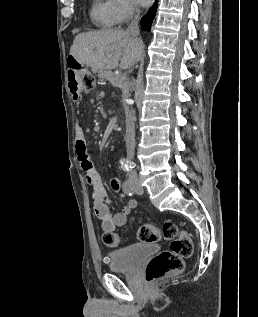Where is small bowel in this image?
<instances>
[{"label":"small bowel","instance_id":"small-bowel-1","mask_svg":"<svg viewBox=\"0 0 258 317\" xmlns=\"http://www.w3.org/2000/svg\"><path fill=\"white\" fill-rule=\"evenodd\" d=\"M75 151L78 162L85 174L86 181L91 188L94 212L105 232H113L116 228L123 226L127 217L136 208L137 202L130 199L117 213H114L112 202L102 182L101 176L93 166L87 151L86 137L83 127L75 125ZM110 187L114 191L122 188L119 178H112Z\"/></svg>","mask_w":258,"mask_h":317}]
</instances>
